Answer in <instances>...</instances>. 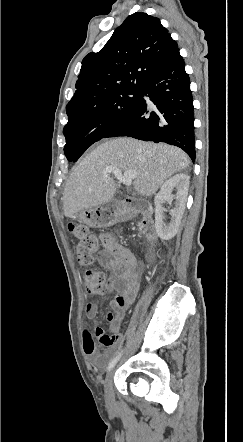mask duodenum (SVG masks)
<instances>
[{
  "instance_id": "obj_1",
  "label": "duodenum",
  "mask_w": 243,
  "mask_h": 442,
  "mask_svg": "<svg viewBox=\"0 0 243 442\" xmlns=\"http://www.w3.org/2000/svg\"><path fill=\"white\" fill-rule=\"evenodd\" d=\"M141 203L137 202L135 199L127 198L121 201L120 210L122 213L132 214L137 211H140ZM141 227L144 233V236L147 240L152 241L155 238L154 228L152 221L148 218H144L141 220Z\"/></svg>"
}]
</instances>
